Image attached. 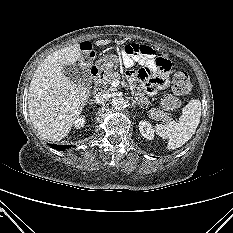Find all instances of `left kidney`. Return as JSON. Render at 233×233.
Here are the masks:
<instances>
[{
    "label": "left kidney",
    "instance_id": "5707ae66",
    "mask_svg": "<svg viewBox=\"0 0 233 233\" xmlns=\"http://www.w3.org/2000/svg\"><path fill=\"white\" fill-rule=\"evenodd\" d=\"M139 130L141 135L149 140H152L154 138V130L152 129V126L147 121H141L139 123Z\"/></svg>",
    "mask_w": 233,
    "mask_h": 233
}]
</instances>
